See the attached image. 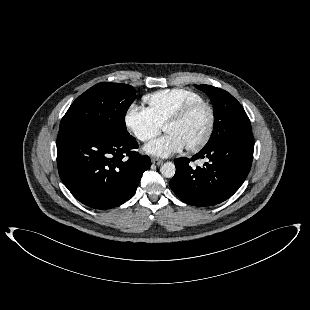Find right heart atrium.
Masks as SVG:
<instances>
[{
	"label": "right heart atrium",
	"instance_id": "obj_1",
	"mask_svg": "<svg viewBox=\"0 0 310 310\" xmlns=\"http://www.w3.org/2000/svg\"><path fill=\"white\" fill-rule=\"evenodd\" d=\"M124 124L126 129L141 142L151 140L162 129L146 108L135 103L128 106L124 115Z\"/></svg>",
	"mask_w": 310,
	"mask_h": 310
}]
</instances>
